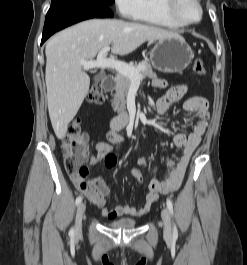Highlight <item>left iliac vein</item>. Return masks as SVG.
<instances>
[{
  "mask_svg": "<svg viewBox=\"0 0 247 265\" xmlns=\"http://www.w3.org/2000/svg\"><path fill=\"white\" fill-rule=\"evenodd\" d=\"M161 217L163 220V231L164 236L170 238L172 235L171 219L170 214L167 208H163L161 212Z\"/></svg>",
  "mask_w": 247,
  "mask_h": 265,
  "instance_id": "left-iliac-vein-1",
  "label": "left iliac vein"
}]
</instances>
